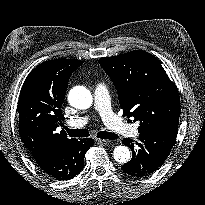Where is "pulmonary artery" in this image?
<instances>
[{"instance_id": "obj_1", "label": "pulmonary artery", "mask_w": 205, "mask_h": 205, "mask_svg": "<svg viewBox=\"0 0 205 205\" xmlns=\"http://www.w3.org/2000/svg\"><path fill=\"white\" fill-rule=\"evenodd\" d=\"M94 109L99 112L106 127L114 133L138 135V127L136 125H128L115 114L111 106L109 91L103 84H98L95 88ZM89 120V116L79 117L68 121V125L78 128L86 125Z\"/></svg>"}]
</instances>
